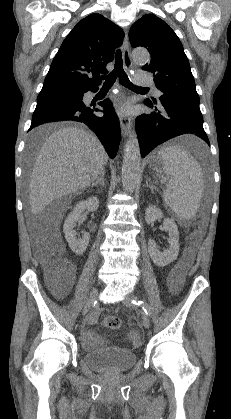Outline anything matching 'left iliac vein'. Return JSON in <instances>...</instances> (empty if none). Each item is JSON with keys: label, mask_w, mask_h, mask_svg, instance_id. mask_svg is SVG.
I'll return each instance as SVG.
<instances>
[{"label": "left iliac vein", "mask_w": 231, "mask_h": 419, "mask_svg": "<svg viewBox=\"0 0 231 419\" xmlns=\"http://www.w3.org/2000/svg\"><path fill=\"white\" fill-rule=\"evenodd\" d=\"M131 299H135V297L134 296H132V295H129V296H127L124 300H123V304L125 305V306H131L132 304H131ZM142 324H143V326L145 327V328H149L150 327V319H149V317L148 316H143V319H142Z\"/></svg>", "instance_id": "4c4485c4"}]
</instances>
